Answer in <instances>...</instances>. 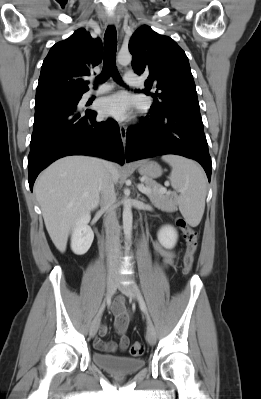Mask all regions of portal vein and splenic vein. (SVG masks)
<instances>
[{
    "mask_svg": "<svg viewBox=\"0 0 261 399\" xmlns=\"http://www.w3.org/2000/svg\"><path fill=\"white\" fill-rule=\"evenodd\" d=\"M138 189H139L141 192L145 193V194L150 193V189L147 188L146 186H144V184H139V185H138ZM162 191H163V192H166L167 190H166V188H162Z\"/></svg>",
    "mask_w": 261,
    "mask_h": 399,
    "instance_id": "18ae733b",
    "label": "portal vein and splenic vein"
}]
</instances>
